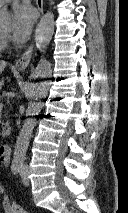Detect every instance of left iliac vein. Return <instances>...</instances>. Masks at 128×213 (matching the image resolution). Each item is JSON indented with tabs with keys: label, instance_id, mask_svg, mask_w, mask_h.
<instances>
[{
	"label": "left iliac vein",
	"instance_id": "1",
	"mask_svg": "<svg viewBox=\"0 0 128 213\" xmlns=\"http://www.w3.org/2000/svg\"><path fill=\"white\" fill-rule=\"evenodd\" d=\"M20 176H21V179H22V182L25 186H29L30 184V180L28 178V168L27 167H23L21 169V172H20Z\"/></svg>",
	"mask_w": 128,
	"mask_h": 213
}]
</instances>
